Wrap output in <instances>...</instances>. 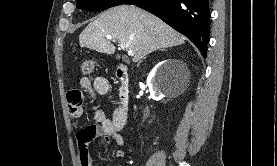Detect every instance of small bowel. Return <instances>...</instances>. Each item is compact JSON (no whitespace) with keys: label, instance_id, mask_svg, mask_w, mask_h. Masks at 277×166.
<instances>
[{"label":"small bowel","instance_id":"c3829d8e","mask_svg":"<svg viewBox=\"0 0 277 166\" xmlns=\"http://www.w3.org/2000/svg\"><path fill=\"white\" fill-rule=\"evenodd\" d=\"M79 85L81 90L73 89L67 92L69 115L73 120L82 117L84 93L91 99L96 100L98 96L106 95L110 91L109 81L102 76L95 77L93 80L82 77L79 80ZM94 118L95 124L81 128L76 134L80 166H94L89 153V144L97 138L116 143L119 149L113 153V158L119 159L124 156V151L120 148L124 145V139L120 131L123 129L126 120L120 117L118 107L114 110L111 118L106 117L100 109L96 110Z\"/></svg>","mask_w":277,"mask_h":166}]
</instances>
